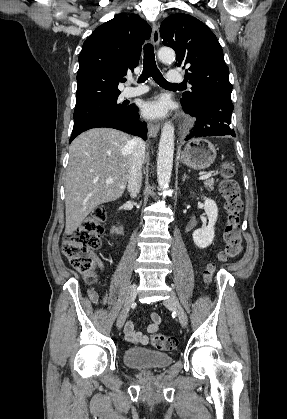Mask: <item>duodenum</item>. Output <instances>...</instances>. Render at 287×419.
I'll list each match as a JSON object with an SVG mask.
<instances>
[{
	"label": "duodenum",
	"instance_id": "410a0bca",
	"mask_svg": "<svg viewBox=\"0 0 287 419\" xmlns=\"http://www.w3.org/2000/svg\"><path fill=\"white\" fill-rule=\"evenodd\" d=\"M119 231L122 232V225L119 224Z\"/></svg>",
	"mask_w": 287,
	"mask_h": 419
}]
</instances>
